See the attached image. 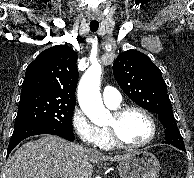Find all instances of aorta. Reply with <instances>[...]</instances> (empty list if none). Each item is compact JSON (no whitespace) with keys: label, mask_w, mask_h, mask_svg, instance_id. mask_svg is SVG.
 <instances>
[{"label":"aorta","mask_w":194,"mask_h":178,"mask_svg":"<svg viewBox=\"0 0 194 178\" xmlns=\"http://www.w3.org/2000/svg\"><path fill=\"white\" fill-rule=\"evenodd\" d=\"M101 74L100 64L91 65L83 74L78 86L79 105L95 124H102L109 115L100 93Z\"/></svg>","instance_id":"aorta-1"}]
</instances>
